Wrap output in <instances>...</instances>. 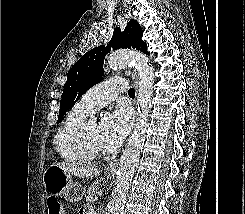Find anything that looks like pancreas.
I'll list each match as a JSON object with an SVG mask.
<instances>
[{"label":"pancreas","mask_w":245,"mask_h":214,"mask_svg":"<svg viewBox=\"0 0 245 214\" xmlns=\"http://www.w3.org/2000/svg\"><path fill=\"white\" fill-rule=\"evenodd\" d=\"M99 189V186L98 185H91L88 190H87V195H86V200L88 202H93L94 199L96 198V195H97V191Z\"/></svg>","instance_id":"obj_1"}]
</instances>
